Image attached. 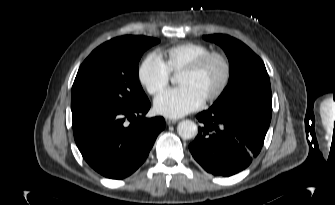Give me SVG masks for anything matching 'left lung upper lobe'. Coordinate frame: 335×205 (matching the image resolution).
<instances>
[{"label":"left lung upper lobe","mask_w":335,"mask_h":205,"mask_svg":"<svg viewBox=\"0 0 335 205\" xmlns=\"http://www.w3.org/2000/svg\"><path fill=\"white\" fill-rule=\"evenodd\" d=\"M225 51L230 65L227 87L212 108L252 104L272 110L270 80L263 61L244 43L223 34L203 36Z\"/></svg>","instance_id":"5c2ea615"}]
</instances>
